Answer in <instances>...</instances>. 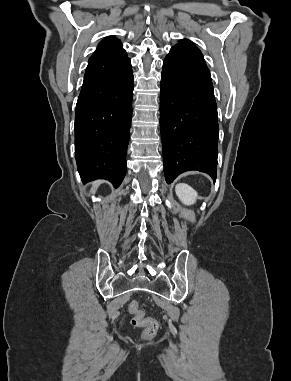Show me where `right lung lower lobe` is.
I'll use <instances>...</instances> for the list:
<instances>
[{
    "label": "right lung lower lobe",
    "mask_w": 291,
    "mask_h": 381,
    "mask_svg": "<svg viewBox=\"0 0 291 381\" xmlns=\"http://www.w3.org/2000/svg\"><path fill=\"white\" fill-rule=\"evenodd\" d=\"M133 72L126 51L95 52L89 58L75 115V156L84 183L109 180L119 187L126 174Z\"/></svg>",
    "instance_id": "obj_1"
}]
</instances>
